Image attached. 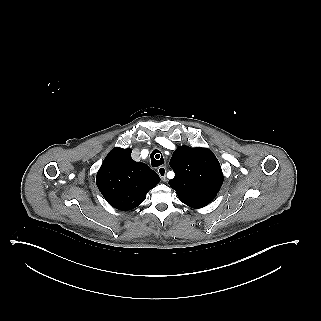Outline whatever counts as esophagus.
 <instances>
[{"label":"esophagus","mask_w":321,"mask_h":321,"mask_svg":"<svg viewBox=\"0 0 321 321\" xmlns=\"http://www.w3.org/2000/svg\"><path fill=\"white\" fill-rule=\"evenodd\" d=\"M158 174L163 182H166V168L164 166H160L158 168Z\"/></svg>","instance_id":"34e87169"}]
</instances>
